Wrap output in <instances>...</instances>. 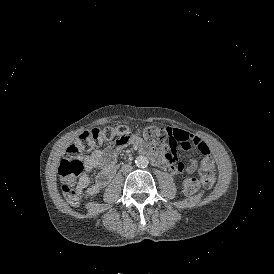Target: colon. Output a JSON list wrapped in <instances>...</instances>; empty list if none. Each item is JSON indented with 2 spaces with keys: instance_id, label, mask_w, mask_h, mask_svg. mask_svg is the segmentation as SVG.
Returning <instances> with one entry per match:
<instances>
[{
  "instance_id": "5ec220e1",
  "label": "colon",
  "mask_w": 274,
  "mask_h": 274,
  "mask_svg": "<svg viewBox=\"0 0 274 274\" xmlns=\"http://www.w3.org/2000/svg\"><path fill=\"white\" fill-rule=\"evenodd\" d=\"M165 127L149 126L145 127L141 133L145 141L160 149V146H167L168 140H172L171 135H167ZM104 136L115 145H123L127 142V131L122 127L107 128L101 131L99 128L93 129V134L84 131L77 137L76 141L70 144L63 160L59 163L58 172L62 177V190L68 204L77 206L80 202V189L76 183L77 177L83 172L81 153L83 149H99L100 135ZM133 136L132 134L130 135ZM185 186L188 194L195 193L201 185L200 181L192 176H187Z\"/></svg>"
}]
</instances>
